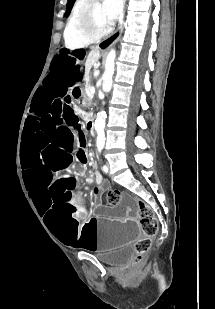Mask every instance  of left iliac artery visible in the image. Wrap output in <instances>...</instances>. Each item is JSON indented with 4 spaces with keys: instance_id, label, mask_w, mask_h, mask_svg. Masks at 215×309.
<instances>
[{
    "instance_id": "1",
    "label": "left iliac artery",
    "mask_w": 215,
    "mask_h": 309,
    "mask_svg": "<svg viewBox=\"0 0 215 309\" xmlns=\"http://www.w3.org/2000/svg\"><path fill=\"white\" fill-rule=\"evenodd\" d=\"M102 170H103L105 173H107V172H108V168H107V166H106V165H103Z\"/></svg>"
}]
</instances>
